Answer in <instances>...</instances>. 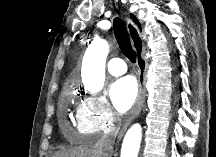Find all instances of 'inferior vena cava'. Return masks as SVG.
Segmentation results:
<instances>
[{"instance_id": "inferior-vena-cava-1", "label": "inferior vena cava", "mask_w": 216, "mask_h": 157, "mask_svg": "<svg viewBox=\"0 0 216 157\" xmlns=\"http://www.w3.org/2000/svg\"><path fill=\"white\" fill-rule=\"evenodd\" d=\"M116 134L105 132L95 144L98 157H111Z\"/></svg>"}]
</instances>
